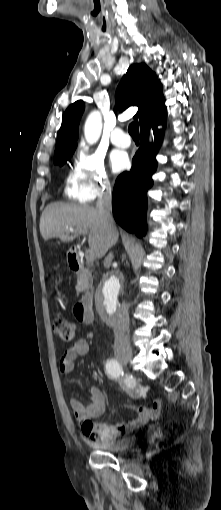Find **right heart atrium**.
<instances>
[{
    "label": "right heart atrium",
    "mask_w": 221,
    "mask_h": 510,
    "mask_svg": "<svg viewBox=\"0 0 221 510\" xmlns=\"http://www.w3.org/2000/svg\"><path fill=\"white\" fill-rule=\"evenodd\" d=\"M67 195L74 201L87 203L111 190L104 158L82 147L78 150L66 179Z\"/></svg>",
    "instance_id": "right-heart-atrium-1"
}]
</instances>
